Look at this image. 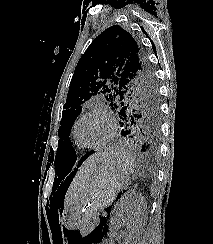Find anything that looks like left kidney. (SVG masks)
I'll use <instances>...</instances> for the list:
<instances>
[{
  "label": "left kidney",
  "instance_id": "1",
  "mask_svg": "<svg viewBox=\"0 0 213 244\" xmlns=\"http://www.w3.org/2000/svg\"><path fill=\"white\" fill-rule=\"evenodd\" d=\"M142 204V198H134L133 194L130 193L126 195L124 198H121L119 203L114 208V214L112 217V223L116 224L119 223L120 220L123 218L124 215H127L131 221V224L128 226V235L125 237L122 244H136V232L139 229V209L137 208V204ZM117 237V233L114 230L113 233L110 234L111 242L113 243V238Z\"/></svg>",
  "mask_w": 213,
  "mask_h": 244
}]
</instances>
